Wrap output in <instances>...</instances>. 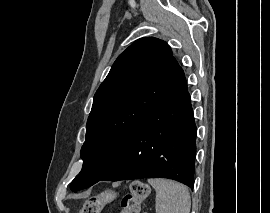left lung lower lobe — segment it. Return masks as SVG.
Here are the masks:
<instances>
[{
	"mask_svg": "<svg viewBox=\"0 0 270 213\" xmlns=\"http://www.w3.org/2000/svg\"><path fill=\"white\" fill-rule=\"evenodd\" d=\"M196 125L183 75L138 126L105 181L169 178L194 186Z\"/></svg>",
	"mask_w": 270,
	"mask_h": 213,
	"instance_id": "1",
	"label": "left lung lower lobe"
}]
</instances>
